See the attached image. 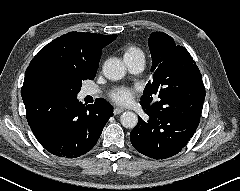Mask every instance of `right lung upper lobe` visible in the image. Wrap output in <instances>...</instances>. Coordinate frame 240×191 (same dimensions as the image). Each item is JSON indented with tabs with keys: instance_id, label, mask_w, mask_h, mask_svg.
Returning a JSON list of instances; mask_svg holds the SVG:
<instances>
[{
	"instance_id": "cb5924a9",
	"label": "right lung upper lobe",
	"mask_w": 240,
	"mask_h": 191,
	"mask_svg": "<svg viewBox=\"0 0 240 191\" xmlns=\"http://www.w3.org/2000/svg\"><path fill=\"white\" fill-rule=\"evenodd\" d=\"M117 38L85 32H70L42 48L26 69L22 98L39 94L42 81L49 75H96L101 50Z\"/></svg>"
}]
</instances>
